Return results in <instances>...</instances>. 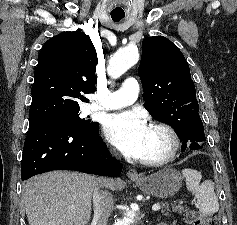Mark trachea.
Returning a JSON list of instances; mask_svg holds the SVG:
<instances>
[{"label": "trachea", "mask_w": 237, "mask_h": 225, "mask_svg": "<svg viewBox=\"0 0 237 225\" xmlns=\"http://www.w3.org/2000/svg\"><path fill=\"white\" fill-rule=\"evenodd\" d=\"M111 18L117 22L124 18V15L111 14Z\"/></svg>", "instance_id": "obj_1"}]
</instances>
